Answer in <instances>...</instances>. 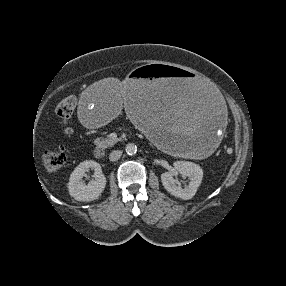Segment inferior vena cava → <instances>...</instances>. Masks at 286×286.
Returning <instances> with one entry per match:
<instances>
[{
    "label": "inferior vena cava",
    "instance_id": "602c4592",
    "mask_svg": "<svg viewBox=\"0 0 286 286\" xmlns=\"http://www.w3.org/2000/svg\"><path fill=\"white\" fill-rule=\"evenodd\" d=\"M122 155V151L121 150H115L113 152L110 153L109 155V160L110 161H116L118 160Z\"/></svg>",
    "mask_w": 286,
    "mask_h": 286
}]
</instances>
